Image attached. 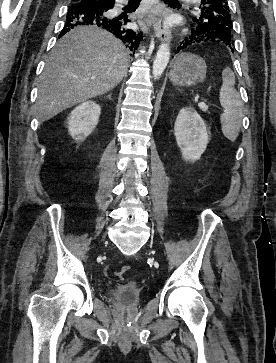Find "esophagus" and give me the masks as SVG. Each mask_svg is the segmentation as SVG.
<instances>
[{
	"instance_id": "obj_1",
	"label": "esophagus",
	"mask_w": 276,
	"mask_h": 363,
	"mask_svg": "<svg viewBox=\"0 0 276 363\" xmlns=\"http://www.w3.org/2000/svg\"><path fill=\"white\" fill-rule=\"evenodd\" d=\"M150 6L151 9L146 18L147 24L153 25L155 34L161 41L170 42V32L161 18L164 11L163 5L159 0H156L155 3H150Z\"/></svg>"
}]
</instances>
